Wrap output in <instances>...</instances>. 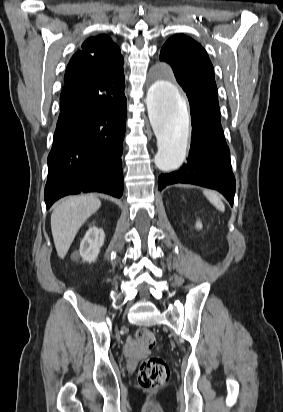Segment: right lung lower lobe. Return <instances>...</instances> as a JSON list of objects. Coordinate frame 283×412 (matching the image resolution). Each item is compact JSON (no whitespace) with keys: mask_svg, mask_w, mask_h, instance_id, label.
<instances>
[{"mask_svg":"<svg viewBox=\"0 0 283 412\" xmlns=\"http://www.w3.org/2000/svg\"><path fill=\"white\" fill-rule=\"evenodd\" d=\"M125 84L101 83L63 105L48 156L47 209L81 191L123 194L122 151L127 106Z\"/></svg>","mask_w":283,"mask_h":412,"instance_id":"1","label":"right lung lower lobe"}]
</instances>
